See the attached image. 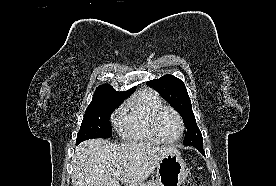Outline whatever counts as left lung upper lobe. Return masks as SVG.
Listing matches in <instances>:
<instances>
[{
	"label": "left lung upper lobe",
	"mask_w": 276,
	"mask_h": 186,
	"mask_svg": "<svg viewBox=\"0 0 276 186\" xmlns=\"http://www.w3.org/2000/svg\"><path fill=\"white\" fill-rule=\"evenodd\" d=\"M148 84L157 90L184 118L187 128L184 144L187 146L203 144L202 134L197 126L185 84L179 78L172 75L162 76L159 79L149 81Z\"/></svg>",
	"instance_id": "1"
}]
</instances>
